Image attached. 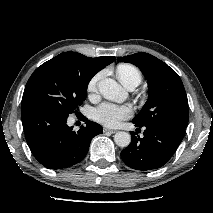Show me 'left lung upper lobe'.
<instances>
[{
  "label": "left lung upper lobe",
  "instance_id": "1",
  "mask_svg": "<svg viewBox=\"0 0 213 213\" xmlns=\"http://www.w3.org/2000/svg\"><path fill=\"white\" fill-rule=\"evenodd\" d=\"M118 60L136 65L150 88L148 100L133 122L142 126L168 124L185 130L188 124V100L178 74L148 53H135L119 57Z\"/></svg>",
  "mask_w": 213,
  "mask_h": 213
}]
</instances>
